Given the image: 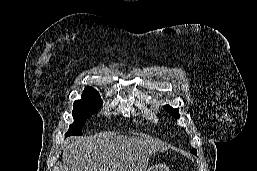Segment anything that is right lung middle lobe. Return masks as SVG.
<instances>
[{
  "label": "right lung middle lobe",
  "instance_id": "right-lung-middle-lobe-1",
  "mask_svg": "<svg viewBox=\"0 0 257 171\" xmlns=\"http://www.w3.org/2000/svg\"><path fill=\"white\" fill-rule=\"evenodd\" d=\"M102 106V99L98 92H86L82 94L81 100L74 102V108L72 115L74 123L69 126L68 132L65 133V137L71 135H81L82 126L88 117L94 114Z\"/></svg>",
  "mask_w": 257,
  "mask_h": 171
}]
</instances>
